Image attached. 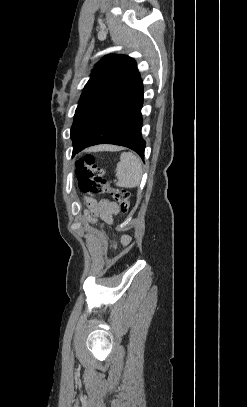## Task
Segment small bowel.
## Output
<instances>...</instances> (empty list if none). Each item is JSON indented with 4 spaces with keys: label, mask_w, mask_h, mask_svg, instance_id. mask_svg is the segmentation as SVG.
Listing matches in <instances>:
<instances>
[{
    "label": "small bowel",
    "mask_w": 247,
    "mask_h": 407,
    "mask_svg": "<svg viewBox=\"0 0 247 407\" xmlns=\"http://www.w3.org/2000/svg\"><path fill=\"white\" fill-rule=\"evenodd\" d=\"M118 212L117 205L111 202H103L97 207H93L91 210L92 216H90V220L92 222H96L97 219H101L103 224H111L113 222V217ZM121 243L126 246L130 242V238L128 236H122L120 239Z\"/></svg>",
    "instance_id": "obj_1"
}]
</instances>
